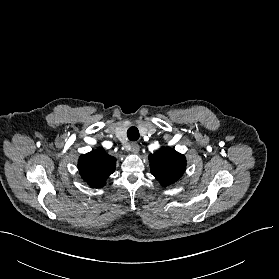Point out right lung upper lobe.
I'll use <instances>...</instances> for the list:
<instances>
[{
	"instance_id": "1",
	"label": "right lung upper lobe",
	"mask_w": 279,
	"mask_h": 279,
	"mask_svg": "<svg viewBox=\"0 0 279 279\" xmlns=\"http://www.w3.org/2000/svg\"><path fill=\"white\" fill-rule=\"evenodd\" d=\"M116 159L101 148L81 155L78 169L82 178L92 187L105 185V180L115 171Z\"/></svg>"
}]
</instances>
